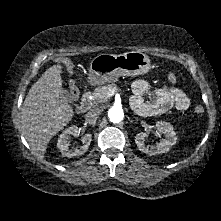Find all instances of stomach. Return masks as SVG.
Masks as SVG:
<instances>
[{
  "label": "stomach",
  "mask_w": 221,
  "mask_h": 221,
  "mask_svg": "<svg viewBox=\"0 0 221 221\" xmlns=\"http://www.w3.org/2000/svg\"><path fill=\"white\" fill-rule=\"evenodd\" d=\"M150 69L149 57L140 51L100 54L90 63L88 81L91 84L116 82L121 76L143 75Z\"/></svg>",
  "instance_id": "0dacf381"
}]
</instances>
